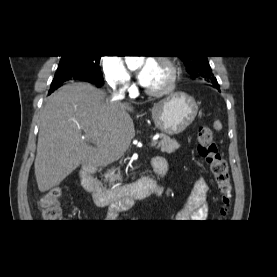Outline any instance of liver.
Returning a JSON list of instances; mask_svg holds the SVG:
<instances>
[{"instance_id":"obj_1","label":"liver","mask_w":277,"mask_h":277,"mask_svg":"<svg viewBox=\"0 0 277 277\" xmlns=\"http://www.w3.org/2000/svg\"><path fill=\"white\" fill-rule=\"evenodd\" d=\"M129 111L131 104L109 100L89 83L64 85L48 97L34 163L39 191L59 185L80 164L106 166L118 160L135 136Z\"/></svg>"}]
</instances>
